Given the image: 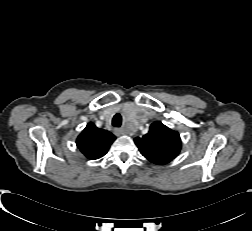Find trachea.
Returning <instances> with one entry per match:
<instances>
[{
	"label": "trachea",
	"instance_id": "trachea-1",
	"mask_svg": "<svg viewBox=\"0 0 252 231\" xmlns=\"http://www.w3.org/2000/svg\"><path fill=\"white\" fill-rule=\"evenodd\" d=\"M122 123V117L119 113L115 114L113 119H112V125L114 127H120Z\"/></svg>",
	"mask_w": 252,
	"mask_h": 231
}]
</instances>
